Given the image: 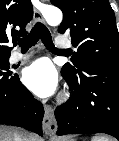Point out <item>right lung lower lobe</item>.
<instances>
[{
    "label": "right lung lower lobe",
    "instance_id": "obj_1",
    "mask_svg": "<svg viewBox=\"0 0 119 141\" xmlns=\"http://www.w3.org/2000/svg\"><path fill=\"white\" fill-rule=\"evenodd\" d=\"M44 108L17 74L0 71V124L23 126L42 135Z\"/></svg>",
    "mask_w": 119,
    "mask_h": 141
}]
</instances>
